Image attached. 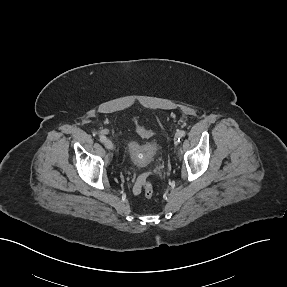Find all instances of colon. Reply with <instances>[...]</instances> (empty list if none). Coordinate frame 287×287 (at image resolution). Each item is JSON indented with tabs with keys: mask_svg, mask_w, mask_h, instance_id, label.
Instances as JSON below:
<instances>
[{
	"mask_svg": "<svg viewBox=\"0 0 287 287\" xmlns=\"http://www.w3.org/2000/svg\"><path fill=\"white\" fill-rule=\"evenodd\" d=\"M133 122L135 124V131L136 133L141 136L142 138H150L153 136V131L140 126L137 123V118L133 119ZM137 188L141 189L142 192L144 193L145 197L147 198H152L154 196V189L150 181L146 178V176H141L139 180V184L137 185Z\"/></svg>",
	"mask_w": 287,
	"mask_h": 287,
	"instance_id": "colon-1",
	"label": "colon"
}]
</instances>
